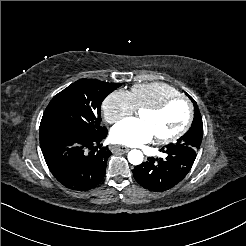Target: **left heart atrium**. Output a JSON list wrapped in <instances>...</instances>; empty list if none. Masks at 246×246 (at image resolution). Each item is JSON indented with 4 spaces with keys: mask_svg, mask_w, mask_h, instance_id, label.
<instances>
[{
    "mask_svg": "<svg viewBox=\"0 0 246 246\" xmlns=\"http://www.w3.org/2000/svg\"><path fill=\"white\" fill-rule=\"evenodd\" d=\"M151 128L140 119H127L115 125L111 140L116 144L140 146L154 138Z\"/></svg>",
    "mask_w": 246,
    "mask_h": 246,
    "instance_id": "left-heart-atrium-1",
    "label": "left heart atrium"
}]
</instances>
